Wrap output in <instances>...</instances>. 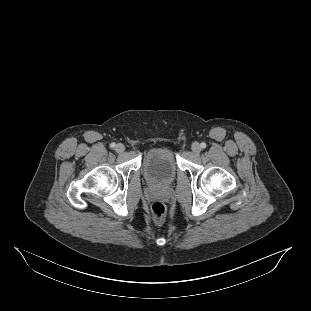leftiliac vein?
Returning <instances> with one entry per match:
<instances>
[{"label":"left iliac vein","instance_id":"left-iliac-vein-1","mask_svg":"<svg viewBox=\"0 0 311 311\" xmlns=\"http://www.w3.org/2000/svg\"><path fill=\"white\" fill-rule=\"evenodd\" d=\"M192 151L195 153V154H199L200 151H201V147L198 143H193L192 144Z\"/></svg>","mask_w":311,"mask_h":311}]
</instances>
